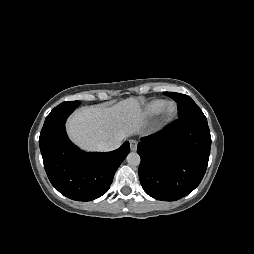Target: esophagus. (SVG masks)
<instances>
[{"label":"esophagus","mask_w":254,"mask_h":254,"mask_svg":"<svg viewBox=\"0 0 254 254\" xmlns=\"http://www.w3.org/2000/svg\"><path fill=\"white\" fill-rule=\"evenodd\" d=\"M130 148L132 151H136L137 150V141L136 140H130Z\"/></svg>","instance_id":"esophagus-1"}]
</instances>
